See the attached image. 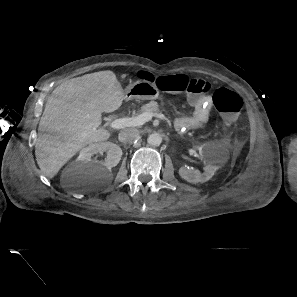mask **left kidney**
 <instances>
[{
	"mask_svg": "<svg viewBox=\"0 0 297 297\" xmlns=\"http://www.w3.org/2000/svg\"><path fill=\"white\" fill-rule=\"evenodd\" d=\"M197 150L199 152L200 157L203 158L206 162L204 172L201 173L199 170L189 169L185 166L180 167L178 170V173L182 179L193 184L199 182L204 183L210 180L215 174V172L224 163L222 158L217 154L214 147L209 143H205L201 146H198Z\"/></svg>",
	"mask_w": 297,
	"mask_h": 297,
	"instance_id": "obj_1",
	"label": "left kidney"
}]
</instances>
